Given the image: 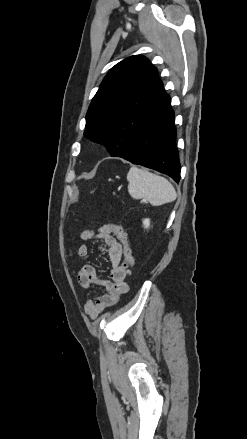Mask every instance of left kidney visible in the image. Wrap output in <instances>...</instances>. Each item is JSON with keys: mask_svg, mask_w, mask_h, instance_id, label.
Segmentation results:
<instances>
[{"mask_svg": "<svg viewBox=\"0 0 247 439\" xmlns=\"http://www.w3.org/2000/svg\"><path fill=\"white\" fill-rule=\"evenodd\" d=\"M143 225L145 228H148L150 226V220L149 219H144L143 220Z\"/></svg>", "mask_w": 247, "mask_h": 439, "instance_id": "left-kidney-1", "label": "left kidney"}]
</instances>
